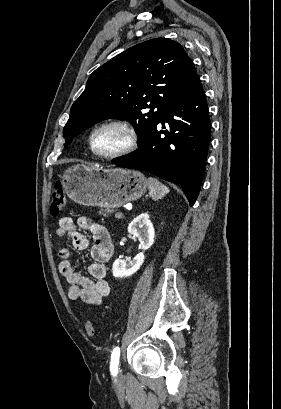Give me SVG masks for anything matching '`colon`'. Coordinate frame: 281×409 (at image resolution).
I'll use <instances>...</instances> for the list:
<instances>
[{
	"label": "colon",
	"mask_w": 281,
	"mask_h": 409,
	"mask_svg": "<svg viewBox=\"0 0 281 409\" xmlns=\"http://www.w3.org/2000/svg\"><path fill=\"white\" fill-rule=\"evenodd\" d=\"M53 195H54V201L52 203V212L56 215L62 212L65 209L66 206V199L64 195V190L63 187L60 184H56L54 189H53ZM85 328L88 329V334L89 335H94L95 334V328L92 326L91 322H86L85 323Z\"/></svg>",
	"instance_id": "obj_1"
}]
</instances>
